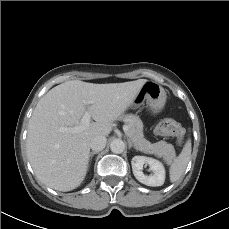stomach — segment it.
<instances>
[{"label": "stomach", "instance_id": "stomach-1", "mask_svg": "<svg viewBox=\"0 0 229 229\" xmlns=\"http://www.w3.org/2000/svg\"><path fill=\"white\" fill-rule=\"evenodd\" d=\"M144 102H146L151 113H159L166 102V92L164 88L156 82L147 81L142 86L132 105L138 107Z\"/></svg>", "mask_w": 229, "mask_h": 229}]
</instances>
